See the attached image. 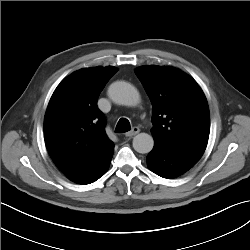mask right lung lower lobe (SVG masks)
<instances>
[{"label": "right lung lower lobe", "instance_id": "obj_1", "mask_svg": "<svg viewBox=\"0 0 250 250\" xmlns=\"http://www.w3.org/2000/svg\"><path fill=\"white\" fill-rule=\"evenodd\" d=\"M113 152L114 146L83 170L68 176V179L78 184H90L95 182L107 171Z\"/></svg>", "mask_w": 250, "mask_h": 250}]
</instances>
